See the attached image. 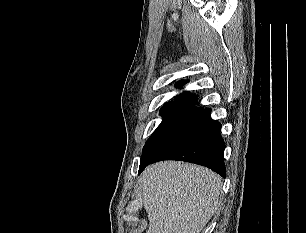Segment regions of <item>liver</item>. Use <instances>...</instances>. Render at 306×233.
Masks as SVG:
<instances>
[{"label": "liver", "mask_w": 306, "mask_h": 233, "mask_svg": "<svg viewBox=\"0 0 306 233\" xmlns=\"http://www.w3.org/2000/svg\"><path fill=\"white\" fill-rule=\"evenodd\" d=\"M221 178L182 162L148 166L139 180L148 214L146 233H201L219 207Z\"/></svg>", "instance_id": "1"}]
</instances>
